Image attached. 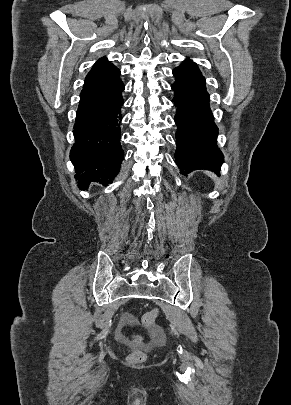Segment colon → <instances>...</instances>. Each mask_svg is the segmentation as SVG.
Returning a JSON list of instances; mask_svg holds the SVG:
<instances>
[{
  "instance_id": "obj_1",
  "label": "colon",
  "mask_w": 291,
  "mask_h": 405,
  "mask_svg": "<svg viewBox=\"0 0 291 405\" xmlns=\"http://www.w3.org/2000/svg\"><path fill=\"white\" fill-rule=\"evenodd\" d=\"M157 316H158V311L156 309L145 313L141 317L142 325L146 328H150V327L154 326ZM145 358H146L145 353L139 349H135L133 351V353L129 356V360L132 363L142 362L145 360Z\"/></svg>"
}]
</instances>
